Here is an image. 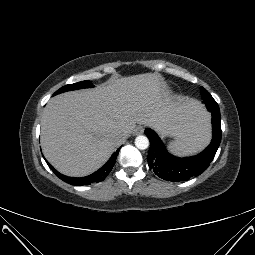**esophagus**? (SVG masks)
Here are the masks:
<instances>
[{
	"instance_id": "esophagus-1",
	"label": "esophagus",
	"mask_w": 255,
	"mask_h": 255,
	"mask_svg": "<svg viewBox=\"0 0 255 255\" xmlns=\"http://www.w3.org/2000/svg\"><path fill=\"white\" fill-rule=\"evenodd\" d=\"M144 132V127L143 126H137L134 131L133 134L134 135H140Z\"/></svg>"
}]
</instances>
